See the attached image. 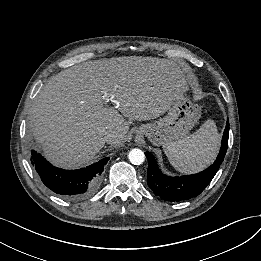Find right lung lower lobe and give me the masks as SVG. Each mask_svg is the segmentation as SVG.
<instances>
[{"mask_svg": "<svg viewBox=\"0 0 261 261\" xmlns=\"http://www.w3.org/2000/svg\"><path fill=\"white\" fill-rule=\"evenodd\" d=\"M31 155V163L44 185L67 200L82 199L92 194L109 160V157H106L86 168L64 170L54 167L34 150Z\"/></svg>", "mask_w": 261, "mask_h": 261, "instance_id": "right-lung-lower-lobe-1", "label": "right lung lower lobe"}]
</instances>
